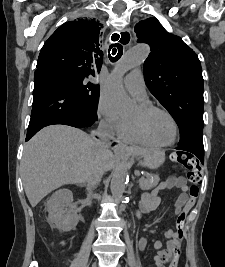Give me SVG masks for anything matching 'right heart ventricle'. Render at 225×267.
Here are the masks:
<instances>
[{"mask_svg":"<svg viewBox=\"0 0 225 267\" xmlns=\"http://www.w3.org/2000/svg\"><path fill=\"white\" fill-rule=\"evenodd\" d=\"M142 105H147L145 102H142ZM125 140L130 143H134L147 148H158L151 144L140 132L134 120H129L127 123L126 130L122 136Z\"/></svg>","mask_w":225,"mask_h":267,"instance_id":"1","label":"right heart ventricle"}]
</instances>
